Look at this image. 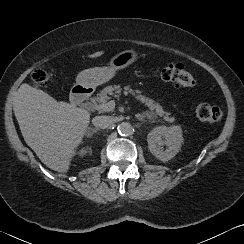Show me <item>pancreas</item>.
I'll list each match as a JSON object with an SVG mask.
<instances>
[{
    "instance_id": "obj_1",
    "label": "pancreas",
    "mask_w": 244,
    "mask_h": 244,
    "mask_svg": "<svg viewBox=\"0 0 244 244\" xmlns=\"http://www.w3.org/2000/svg\"><path fill=\"white\" fill-rule=\"evenodd\" d=\"M122 88L118 85H109L103 88L97 95V97L92 99L94 105H97V110L101 113L110 112L112 109H101L98 106L106 104L107 101L113 96L115 98H119L121 95ZM125 94H131L135 100L144 104V106L148 107L151 112L155 115L163 117V120L169 123H173L175 121V117L171 116L169 112L163 110V107L158 103L155 102L153 99L148 98L146 95L142 94L140 90L131 89L130 86L124 87Z\"/></svg>"
}]
</instances>
